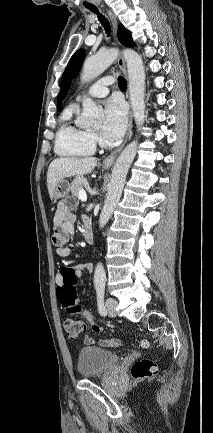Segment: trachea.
<instances>
[{
    "label": "trachea",
    "instance_id": "1",
    "mask_svg": "<svg viewBox=\"0 0 213 433\" xmlns=\"http://www.w3.org/2000/svg\"><path fill=\"white\" fill-rule=\"evenodd\" d=\"M89 9L93 13L97 14L99 21L101 22L102 26L104 27L106 33L109 35L111 32V27H110L108 20L103 15H101L99 13V11L96 7H89ZM118 86L120 89H126V80L121 76L118 77Z\"/></svg>",
    "mask_w": 213,
    "mask_h": 433
}]
</instances>
